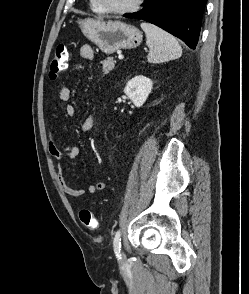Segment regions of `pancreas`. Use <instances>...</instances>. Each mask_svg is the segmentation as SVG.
I'll use <instances>...</instances> for the list:
<instances>
[{"label": "pancreas", "instance_id": "pancreas-1", "mask_svg": "<svg viewBox=\"0 0 249 294\" xmlns=\"http://www.w3.org/2000/svg\"><path fill=\"white\" fill-rule=\"evenodd\" d=\"M115 63L116 61L113 57H107L105 60L101 61L104 74H108L110 71H112L114 69Z\"/></svg>", "mask_w": 249, "mask_h": 294}]
</instances>
